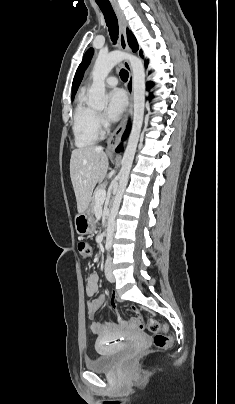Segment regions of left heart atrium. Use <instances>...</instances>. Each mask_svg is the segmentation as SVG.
<instances>
[{
  "mask_svg": "<svg viewBox=\"0 0 235 404\" xmlns=\"http://www.w3.org/2000/svg\"><path fill=\"white\" fill-rule=\"evenodd\" d=\"M127 106V98L121 89H114L108 94V105L106 116L112 121H116L123 114Z\"/></svg>",
  "mask_w": 235,
  "mask_h": 404,
  "instance_id": "obj_1",
  "label": "left heart atrium"
}]
</instances>
